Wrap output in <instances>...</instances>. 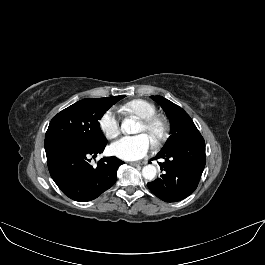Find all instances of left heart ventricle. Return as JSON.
<instances>
[{
  "instance_id": "obj_1",
  "label": "left heart ventricle",
  "mask_w": 265,
  "mask_h": 265,
  "mask_svg": "<svg viewBox=\"0 0 265 265\" xmlns=\"http://www.w3.org/2000/svg\"><path fill=\"white\" fill-rule=\"evenodd\" d=\"M137 133H144L146 134L149 139L152 141L155 135V130L147 129L145 128L142 123L139 124V127L137 129Z\"/></svg>"
}]
</instances>
